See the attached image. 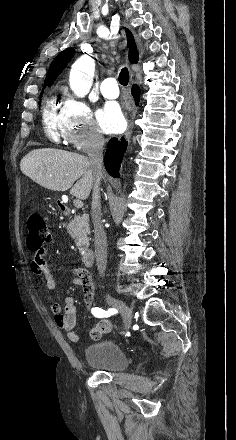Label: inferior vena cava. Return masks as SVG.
I'll return each mask as SVG.
<instances>
[{
  "label": "inferior vena cava",
  "mask_w": 236,
  "mask_h": 440,
  "mask_svg": "<svg viewBox=\"0 0 236 440\" xmlns=\"http://www.w3.org/2000/svg\"><path fill=\"white\" fill-rule=\"evenodd\" d=\"M104 138L99 133H93L87 150L90 169L94 177L92 192L91 214L94 225V245L96 265L101 276L107 265V238L101 221L100 183L102 179V162Z\"/></svg>",
  "instance_id": "obj_1"
}]
</instances>
